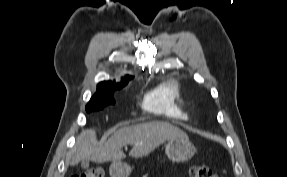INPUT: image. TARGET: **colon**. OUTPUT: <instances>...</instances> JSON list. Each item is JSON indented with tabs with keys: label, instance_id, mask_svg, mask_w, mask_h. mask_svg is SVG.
Instances as JSON below:
<instances>
[{
	"label": "colon",
	"instance_id": "colon-1",
	"mask_svg": "<svg viewBox=\"0 0 287 177\" xmlns=\"http://www.w3.org/2000/svg\"><path fill=\"white\" fill-rule=\"evenodd\" d=\"M104 170L102 168H91L80 175H73L71 177H104ZM190 177H217L213 170L207 164L194 165L190 170Z\"/></svg>",
	"mask_w": 287,
	"mask_h": 177
}]
</instances>
